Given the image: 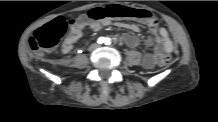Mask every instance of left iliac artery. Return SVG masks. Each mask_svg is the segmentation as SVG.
<instances>
[{"label":"left iliac artery","mask_w":218,"mask_h":122,"mask_svg":"<svg viewBox=\"0 0 218 122\" xmlns=\"http://www.w3.org/2000/svg\"><path fill=\"white\" fill-rule=\"evenodd\" d=\"M111 43V39L110 38H106L105 39V44L109 45Z\"/></svg>","instance_id":"1"}]
</instances>
